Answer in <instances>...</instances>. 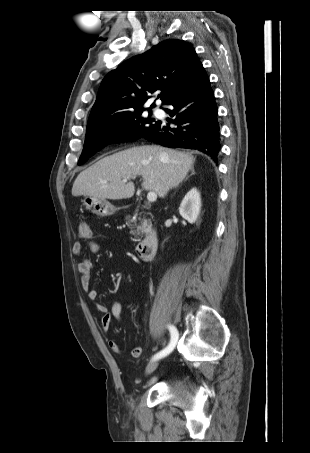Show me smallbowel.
<instances>
[{
	"label": "small bowel",
	"instance_id": "small-bowel-1",
	"mask_svg": "<svg viewBox=\"0 0 310 453\" xmlns=\"http://www.w3.org/2000/svg\"><path fill=\"white\" fill-rule=\"evenodd\" d=\"M90 248L92 251L97 252L99 246L96 243H90ZM83 247L80 242H75L72 247V252L76 256H80L82 254ZM93 263L91 260L83 258L78 263V273L80 275V285L82 289L85 291L87 297L90 300H96L98 298V292L95 288L91 287L90 285V277H91V269ZM96 309L99 313H101V326L104 331H108L113 320L121 321L122 319V303L121 298L116 297L111 305L110 311L103 303H96ZM108 346L110 350L114 353H120L121 349L117 342L111 340L108 342ZM132 356L135 358H139L142 354V348L137 346L132 349L131 352Z\"/></svg>",
	"mask_w": 310,
	"mask_h": 453
}]
</instances>
